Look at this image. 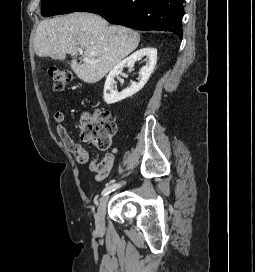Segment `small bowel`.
Segmentation results:
<instances>
[{
    "mask_svg": "<svg viewBox=\"0 0 255 272\" xmlns=\"http://www.w3.org/2000/svg\"><path fill=\"white\" fill-rule=\"evenodd\" d=\"M64 119L65 117L62 112H56L54 114L56 131L64 146L74 155L79 164L86 165L88 171L96 173L97 181L100 182L104 180L113 166L116 150L114 149L112 152L106 153L103 157L97 154L94 159L90 160L89 152L81 144L75 142L69 135L64 125Z\"/></svg>",
    "mask_w": 255,
    "mask_h": 272,
    "instance_id": "obj_1",
    "label": "small bowel"
}]
</instances>
